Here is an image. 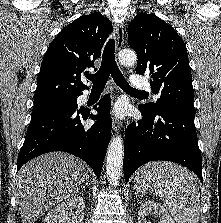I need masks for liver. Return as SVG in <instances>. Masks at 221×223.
Returning <instances> with one entry per match:
<instances>
[{
    "mask_svg": "<svg viewBox=\"0 0 221 223\" xmlns=\"http://www.w3.org/2000/svg\"><path fill=\"white\" fill-rule=\"evenodd\" d=\"M86 178L83 161L63 152H50L24 164L16 176L23 223H34L51 207L76 195Z\"/></svg>",
    "mask_w": 221,
    "mask_h": 223,
    "instance_id": "liver-1",
    "label": "liver"
}]
</instances>
